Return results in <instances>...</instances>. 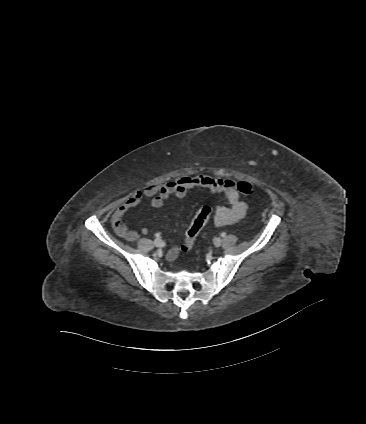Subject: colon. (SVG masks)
<instances>
[{"mask_svg":"<svg viewBox=\"0 0 366 424\" xmlns=\"http://www.w3.org/2000/svg\"><path fill=\"white\" fill-rule=\"evenodd\" d=\"M237 189L239 193L244 196H250L254 193L253 185L246 181L239 182L237 184ZM210 214L211 208L209 206L204 205L199 208L186 231L184 242L181 245V250L183 253H187L193 248L197 236L206 224Z\"/></svg>","mask_w":366,"mask_h":424,"instance_id":"obj_1","label":"colon"}]
</instances>
